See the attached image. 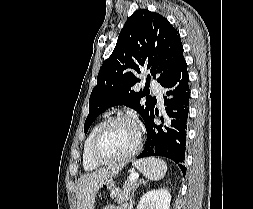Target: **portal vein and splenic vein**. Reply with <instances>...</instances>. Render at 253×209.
<instances>
[{
  "instance_id": "obj_1",
  "label": "portal vein and splenic vein",
  "mask_w": 253,
  "mask_h": 209,
  "mask_svg": "<svg viewBox=\"0 0 253 209\" xmlns=\"http://www.w3.org/2000/svg\"><path fill=\"white\" fill-rule=\"evenodd\" d=\"M138 178H139V175L135 174V173L131 174L129 177L130 181H132V182H136L138 180Z\"/></svg>"
}]
</instances>
